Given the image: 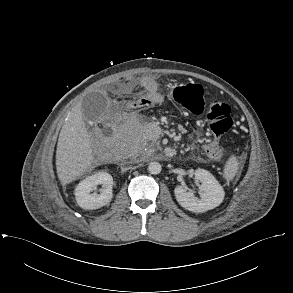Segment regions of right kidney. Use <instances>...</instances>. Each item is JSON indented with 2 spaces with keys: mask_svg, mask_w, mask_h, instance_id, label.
<instances>
[{
  "mask_svg": "<svg viewBox=\"0 0 293 293\" xmlns=\"http://www.w3.org/2000/svg\"><path fill=\"white\" fill-rule=\"evenodd\" d=\"M102 184L103 188L100 194H91L93 188ZM112 176L104 171L97 172L82 180L75 189V197L77 204L86 210H94L101 208L112 200Z\"/></svg>",
  "mask_w": 293,
  "mask_h": 293,
  "instance_id": "1",
  "label": "right kidney"
}]
</instances>
